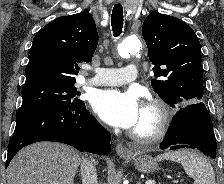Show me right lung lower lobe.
<instances>
[{"label":"right lung lower lobe","mask_w":224,"mask_h":184,"mask_svg":"<svg viewBox=\"0 0 224 184\" xmlns=\"http://www.w3.org/2000/svg\"><path fill=\"white\" fill-rule=\"evenodd\" d=\"M111 135L86 109L47 108L32 111L16 122L8 145L5 167L24 146L39 141H54L71 145L79 151L106 155L110 153Z\"/></svg>","instance_id":"98d812e1"}]
</instances>
